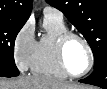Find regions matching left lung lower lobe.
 <instances>
[{
  "label": "left lung lower lobe",
  "instance_id": "left-lung-lower-lobe-1",
  "mask_svg": "<svg viewBox=\"0 0 107 89\" xmlns=\"http://www.w3.org/2000/svg\"><path fill=\"white\" fill-rule=\"evenodd\" d=\"M79 82L99 86L107 89V58L94 67V71L87 78Z\"/></svg>",
  "mask_w": 107,
  "mask_h": 89
}]
</instances>
